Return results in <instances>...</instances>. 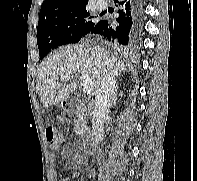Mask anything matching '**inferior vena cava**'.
<instances>
[{"label":"inferior vena cava","mask_w":197,"mask_h":181,"mask_svg":"<svg viewBox=\"0 0 197 181\" xmlns=\"http://www.w3.org/2000/svg\"><path fill=\"white\" fill-rule=\"evenodd\" d=\"M115 78L104 73L95 95V104L92 112V136L95 144L103 140L104 123L108 117L114 99Z\"/></svg>","instance_id":"602c4592"}]
</instances>
